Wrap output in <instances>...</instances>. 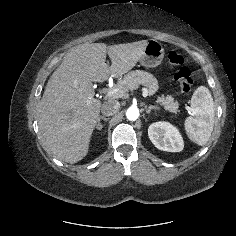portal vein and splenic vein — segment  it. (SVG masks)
I'll use <instances>...</instances> for the list:
<instances>
[{
  "instance_id": "obj_1",
  "label": "portal vein and splenic vein",
  "mask_w": 236,
  "mask_h": 236,
  "mask_svg": "<svg viewBox=\"0 0 236 236\" xmlns=\"http://www.w3.org/2000/svg\"><path fill=\"white\" fill-rule=\"evenodd\" d=\"M143 97L148 96V91L146 88H142ZM126 91L123 88H112L106 93V98H122L125 96Z\"/></svg>"
}]
</instances>
